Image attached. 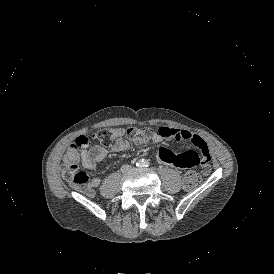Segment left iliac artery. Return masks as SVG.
<instances>
[{
    "label": "left iliac artery",
    "mask_w": 274,
    "mask_h": 274,
    "mask_svg": "<svg viewBox=\"0 0 274 274\" xmlns=\"http://www.w3.org/2000/svg\"><path fill=\"white\" fill-rule=\"evenodd\" d=\"M149 165H150L149 161H145V162H144V166H145V167H148Z\"/></svg>",
    "instance_id": "44dca946"
}]
</instances>
